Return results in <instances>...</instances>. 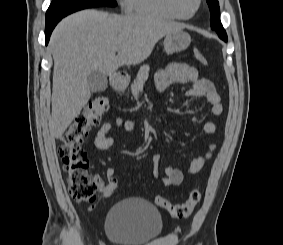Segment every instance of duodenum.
Listing matches in <instances>:
<instances>
[{"mask_svg":"<svg viewBox=\"0 0 283 245\" xmlns=\"http://www.w3.org/2000/svg\"><path fill=\"white\" fill-rule=\"evenodd\" d=\"M127 85V76L123 73H116L112 80V86L115 91H122Z\"/></svg>","mask_w":283,"mask_h":245,"instance_id":"obj_1","label":"duodenum"}]
</instances>
